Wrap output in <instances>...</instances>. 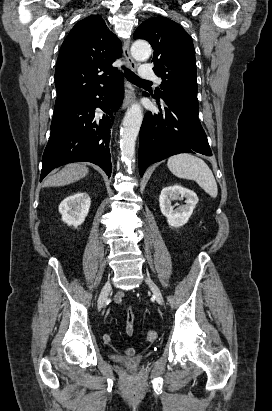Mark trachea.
<instances>
[{
	"mask_svg": "<svg viewBox=\"0 0 272 411\" xmlns=\"http://www.w3.org/2000/svg\"><path fill=\"white\" fill-rule=\"evenodd\" d=\"M124 75H125V77L127 78L128 81H130L131 83H134V84L151 83L150 81L143 80V79L139 78L134 72H132L130 69L125 68V67H124Z\"/></svg>",
	"mask_w": 272,
	"mask_h": 411,
	"instance_id": "1",
	"label": "trachea"
}]
</instances>
